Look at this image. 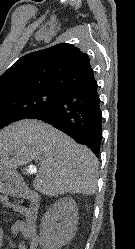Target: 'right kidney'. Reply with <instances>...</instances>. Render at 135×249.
<instances>
[{"mask_svg":"<svg viewBox=\"0 0 135 249\" xmlns=\"http://www.w3.org/2000/svg\"><path fill=\"white\" fill-rule=\"evenodd\" d=\"M78 207L72 198L55 202L41 219L39 243L42 249H61L75 235Z\"/></svg>","mask_w":135,"mask_h":249,"instance_id":"obj_1","label":"right kidney"}]
</instances>
